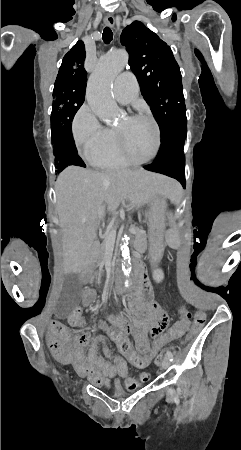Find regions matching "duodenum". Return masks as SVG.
Wrapping results in <instances>:
<instances>
[{"label": "duodenum", "mask_w": 241, "mask_h": 450, "mask_svg": "<svg viewBox=\"0 0 241 450\" xmlns=\"http://www.w3.org/2000/svg\"><path fill=\"white\" fill-rule=\"evenodd\" d=\"M94 271L87 270L82 275V281L89 284L93 281ZM132 287L141 293L149 291L148 280L145 275L144 266L139 260L133 261V274L131 278ZM126 277L123 274L121 267L118 266L115 270V277L112 281V289L116 292H121L125 289Z\"/></svg>", "instance_id": "obj_1"}]
</instances>
